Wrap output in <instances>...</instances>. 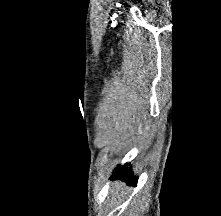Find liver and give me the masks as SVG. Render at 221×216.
<instances>
[{"label":"liver","mask_w":221,"mask_h":216,"mask_svg":"<svg viewBox=\"0 0 221 216\" xmlns=\"http://www.w3.org/2000/svg\"><path fill=\"white\" fill-rule=\"evenodd\" d=\"M122 186H124L122 182L116 181L111 189V192L115 194V196H119V191L122 189ZM121 193L122 195H125V191H122Z\"/></svg>","instance_id":"obj_1"}]
</instances>
